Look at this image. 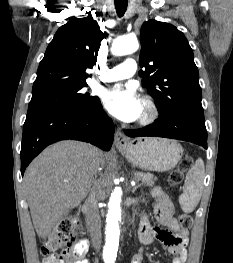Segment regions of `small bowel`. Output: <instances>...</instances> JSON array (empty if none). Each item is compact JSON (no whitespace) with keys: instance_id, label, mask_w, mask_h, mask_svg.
<instances>
[{"instance_id":"small-bowel-1","label":"small bowel","mask_w":233,"mask_h":263,"mask_svg":"<svg viewBox=\"0 0 233 263\" xmlns=\"http://www.w3.org/2000/svg\"><path fill=\"white\" fill-rule=\"evenodd\" d=\"M156 199L154 214L162 227H152L146 217L141 219L139 225V239L143 246L152 244L155 240L161 242L172 258V263H185L186 247L189 241V232L183 229L174 216L175 209L173 203L167 198L159 187L152 191ZM89 250V243L86 239L80 240L77 246V258L75 263H90L86 258ZM143 249L134 255L131 263H141Z\"/></svg>"}]
</instances>
